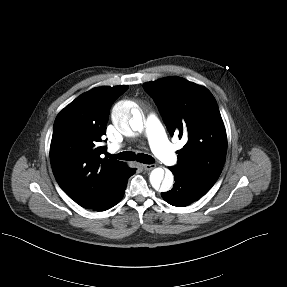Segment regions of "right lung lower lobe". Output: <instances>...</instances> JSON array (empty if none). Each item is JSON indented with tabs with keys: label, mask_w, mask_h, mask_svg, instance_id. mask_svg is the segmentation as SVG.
Instances as JSON below:
<instances>
[{
	"label": "right lung lower lobe",
	"mask_w": 287,
	"mask_h": 287,
	"mask_svg": "<svg viewBox=\"0 0 287 287\" xmlns=\"http://www.w3.org/2000/svg\"><path fill=\"white\" fill-rule=\"evenodd\" d=\"M136 169L130 168L129 173L125 178L122 179V181L111 190L110 194L108 197L100 202L98 205L92 207L91 209L97 210V211H105L113 206H115L123 197L124 191L127 186V181L130 176H132L135 173Z\"/></svg>",
	"instance_id": "1"
}]
</instances>
